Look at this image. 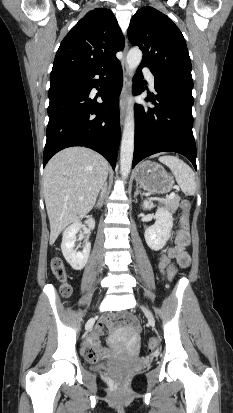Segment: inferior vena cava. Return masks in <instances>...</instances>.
Returning <instances> with one entry per match:
<instances>
[{
	"mask_svg": "<svg viewBox=\"0 0 233 413\" xmlns=\"http://www.w3.org/2000/svg\"><path fill=\"white\" fill-rule=\"evenodd\" d=\"M106 191V188H102V192H101V197L104 194V192Z\"/></svg>",
	"mask_w": 233,
	"mask_h": 413,
	"instance_id": "obj_1",
	"label": "inferior vena cava"
}]
</instances>
